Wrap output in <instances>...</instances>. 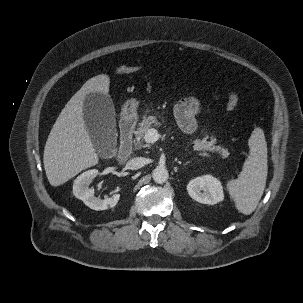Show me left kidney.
Returning <instances> with one entry per match:
<instances>
[{
  "mask_svg": "<svg viewBox=\"0 0 303 303\" xmlns=\"http://www.w3.org/2000/svg\"><path fill=\"white\" fill-rule=\"evenodd\" d=\"M191 198L203 204L214 205L224 199L221 182L212 175L192 179L187 185Z\"/></svg>",
  "mask_w": 303,
  "mask_h": 303,
  "instance_id": "obj_1",
  "label": "left kidney"
}]
</instances>
